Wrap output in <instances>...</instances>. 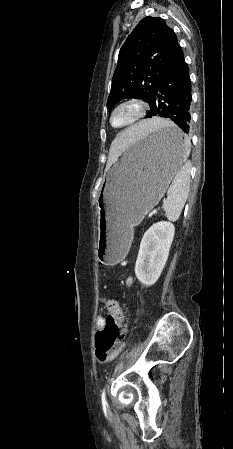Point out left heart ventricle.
Wrapping results in <instances>:
<instances>
[{"label": "left heart ventricle", "instance_id": "obj_1", "mask_svg": "<svg viewBox=\"0 0 233 449\" xmlns=\"http://www.w3.org/2000/svg\"><path fill=\"white\" fill-rule=\"evenodd\" d=\"M132 113H133L132 108L121 109L114 115L113 122L116 125L122 124L132 116Z\"/></svg>", "mask_w": 233, "mask_h": 449}]
</instances>
